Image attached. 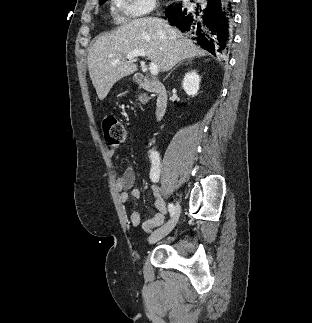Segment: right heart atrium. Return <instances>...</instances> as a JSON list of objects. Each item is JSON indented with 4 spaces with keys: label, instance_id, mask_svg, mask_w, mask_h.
I'll return each instance as SVG.
<instances>
[{
    "label": "right heart atrium",
    "instance_id": "d8ad5b80",
    "mask_svg": "<svg viewBox=\"0 0 312 323\" xmlns=\"http://www.w3.org/2000/svg\"><path fill=\"white\" fill-rule=\"evenodd\" d=\"M120 9L129 17H142L143 13H156L161 9L162 0H119Z\"/></svg>",
    "mask_w": 312,
    "mask_h": 323
}]
</instances>
